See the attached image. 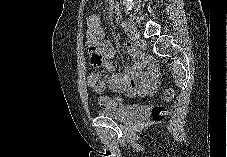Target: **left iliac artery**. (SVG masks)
Listing matches in <instances>:
<instances>
[{"instance_id": "left-iliac-artery-1", "label": "left iliac artery", "mask_w": 227, "mask_h": 157, "mask_svg": "<svg viewBox=\"0 0 227 157\" xmlns=\"http://www.w3.org/2000/svg\"><path fill=\"white\" fill-rule=\"evenodd\" d=\"M121 26H122L125 30H129V24H128L127 22L123 21V22L121 23Z\"/></svg>"}]
</instances>
